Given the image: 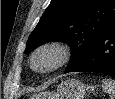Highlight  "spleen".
Masks as SVG:
<instances>
[{"label":"spleen","mask_w":115,"mask_h":99,"mask_svg":"<svg viewBox=\"0 0 115 99\" xmlns=\"http://www.w3.org/2000/svg\"><path fill=\"white\" fill-rule=\"evenodd\" d=\"M102 88L105 93L111 95L115 98V80L112 79H103L102 80Z\"/></svg>","instance_id":"obj_1"}]
</instances>
